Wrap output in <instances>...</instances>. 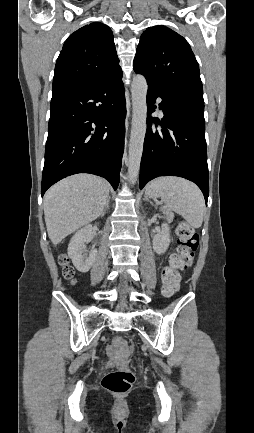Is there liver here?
Instances as JSON below:
<instances>
[{
	"instance_id": "6515ba94",
	"label": "liver",
	"mask_w": 254,
	"mask_h": 433,
	"mask_svg": "<svg viewBox=\"0 0 254 433\" xmlns=\"http://www.w3.org/2000/svg\"><path fill=\"white\" fill-rule=\"evenodd\" d=\"M109 197L107 182L97 176L77 174L53 185L44 197L48 236L56 246L67 235L101 215Z\"/></svg>"
}]
</instances>
